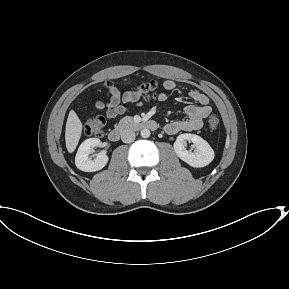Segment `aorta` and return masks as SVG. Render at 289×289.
<instances>
[{
	"mask_svg": "<svg viewBox=\"0 0 289 289\" xmlns=\"http://www.w3.org/2000/svg\"><path fill=\"white\" fill-rule=\"evenodd\" d=\"M140 134H141V137L148 138L150 136V130L144 128V129L141 130Z\"/></svg>",
	"mask_w": 289,
	"mask_h": 289,
	"instance_id": "aorta-1",
	"label": "aorta"
}]
</instances>
